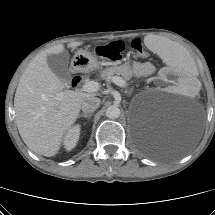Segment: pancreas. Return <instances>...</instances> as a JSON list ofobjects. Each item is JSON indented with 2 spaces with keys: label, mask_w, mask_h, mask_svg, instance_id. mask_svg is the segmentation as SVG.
Returning <instances> with one entry per match:
<instances>
[{
  "label": "pancreas",
  "mask_w": 215,
  "mask_h": 215,
  "mask_svg": "<svg viewBox=\"0 0 215 215\" xmlns=\"http://www.w3.org/2000/svg\"><path fill=\"white\" fill-rule=\"evenodd\" d=\"M114 74L121 75L125 80H130L133 76V70L129 63H124L120 66H114L104 69L101 72V78L106 79Z\"/></svg>",
  "instance_id": "obj_1"
}]
</instances>
